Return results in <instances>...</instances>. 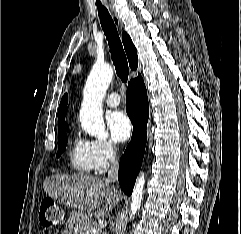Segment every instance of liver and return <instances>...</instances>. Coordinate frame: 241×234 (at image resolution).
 I'll use <instances>...</instances> for the list:
<instances>
[{"label":"liver","instance_id":"obj_1","mask_svg":"<svg viewBox=\"0 0 241 234\" xmlns=\"http://www.w3.org/2000/svg\"><path fill=\"white\" fill-rule=\"evenodd\" d=\"M43 189L65 206L84 213L88 220L94 210L96 216L108 214L120 196L107 179L84 174L52 175L44 180Z\"/></svg>","mask_w":241,"mask_h":234}]
</instances>
